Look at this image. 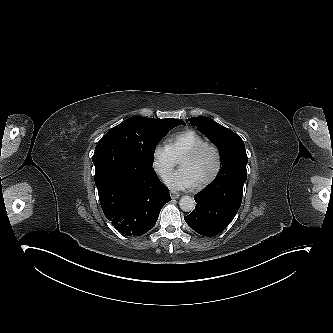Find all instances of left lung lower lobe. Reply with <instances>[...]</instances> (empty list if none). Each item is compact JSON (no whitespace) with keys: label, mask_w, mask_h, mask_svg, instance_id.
Listing matches in <instances>:
<instances>
[{"label":"left lung lower lobe","mask_w":333,"mask_h":333,"mask_svg":"<svg viewBox=\"0 0 333 333\" xmlns=\"http://www.w3.org/2000/svg\"><path fill=\"white\" fill-rule=\"evenodd\" d=\"M244 183L223 184L214 180L194 196L195 210L184 216V220L198 234H219L231 223L241 206Z\"/></svg>","instance_id":"obj_1"}]
</instances>
